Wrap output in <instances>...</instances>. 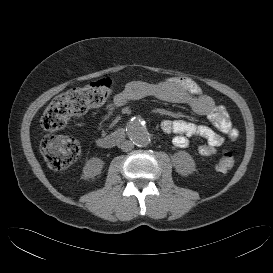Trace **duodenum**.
Instances as JSON below:
<instances>
[{"label":"duodenum","instance_id":"obj_1","mask_svg":"<svg viewBox=\"0 0 273 273\" xmlns=\"http://www.w3.org/2000/svg\"><path fill=\"white\" fill-rule=\"evenodd\" d=\"M125 139V131L124 129H117L116 131L99 137L97 139V145L101 148H112L115 147L116 145L120 144L123 142Z\"/></svg>","mask_w":273,"mask_h":273}]
</instances>
